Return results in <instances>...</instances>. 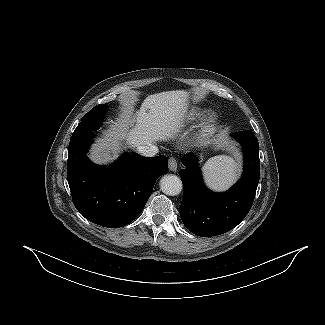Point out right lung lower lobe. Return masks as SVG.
<instances>
[{
  "mask_svg": "<svg viewBox=\"0 0 325 325\" xmlns=\"http://www.w3.org/2000/svg\"><path fill=\"white\" fill-rule=\"evenodd\" d=\"M93 131L73 133L68 150L67 179L72 200L89 221L119 228L144 208L157 178L168 170V158L124 154L112 166H98L86 156Z\"/></svg>",
  "mask_w": 325,
  "mask_h": 325,
  "instance_id": "obj_1",
  "label": "right lung lower lobe"
}]
</instances>
